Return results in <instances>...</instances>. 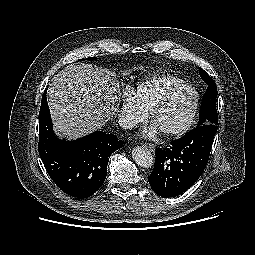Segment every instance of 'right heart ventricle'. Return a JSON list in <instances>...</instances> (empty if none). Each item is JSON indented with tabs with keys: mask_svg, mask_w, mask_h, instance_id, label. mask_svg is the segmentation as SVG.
<instances>
[{
	"mask_svg": "<svg viewBox=\"0 0 255 255\" xmlns=\"http://www.w3.org/2000/svg\"><path fill=\"white\" fill-rule=\"evenodd\" d=\"M185 84V81L178 77L158 76L140 83L134 95L144 111L150 112L161 100Z\"/></svg>",
	"mask_w": 255,
	"mask_h": 255,
	"instance_id": "obj_1",
	"label": "right heart ventricle"
}]
</instances>
